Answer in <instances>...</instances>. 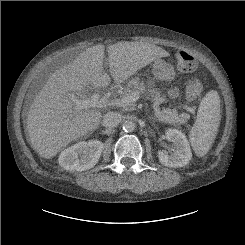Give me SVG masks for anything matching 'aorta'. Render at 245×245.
<instances>
[{
    "instance_id": "762f6f07",
    "label": "aorta",
    "mask_w": 245,
    "mask_h": 245,
    "mask_svg": "<svg viewBox=\"0 0 245 245\" xmlns=\"http://www.w3.org/2000/svg\"><path fill=\"white\" fill-rule=\"evenodd\" d=\"M136 128V125L133 121L127 120L123 123V130L125 132H133Z\"/></svg>"
}]
</instances>
